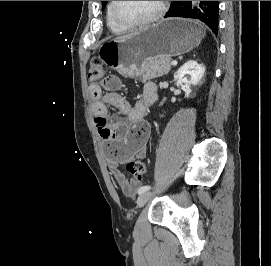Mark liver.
Wrapping results in <instances>:
<instances>
[{"instance_id":"liver-1","label":"liver","mask_w":271,"mask_h":266,"mask_svg":"<svg viewBox=\"0 0 271 266\" xmlns=\"http://www.w3.org/2000/svg\"><path fill=\"white\" fill-rule=\"evenodd\" d=\"M138 32H134V33L127 34V35H124V36H120V37L116 38L115 40H123V39L130 38V37L134 36L135 34H137Z\"/></svg>"}]
</instances>
